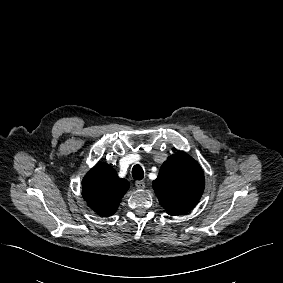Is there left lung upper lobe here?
I'll return each mask as SVG.
<instances>
[{"label": "left lung upper lobe", "instance_id": "1", "mask_svg": "<svg viewBox=\"0 0 283 283\" xmlns=\"http://www.w3.org/2000/svg\"><path fill=\"white\" fill-rule=\"evenodd\" d=\"M153 189L162 207L170 215L190 211L204 191V173L187 153L178 151L161 166Z\"/></svg>", "mask_w": 283, "mask_h": 283}]
</instances>
